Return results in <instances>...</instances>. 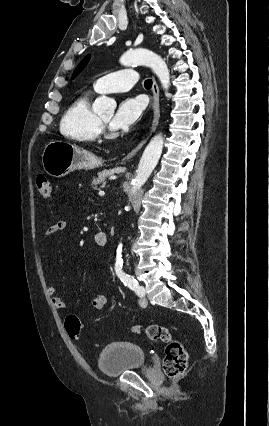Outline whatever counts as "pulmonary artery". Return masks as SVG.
Masks as SVG:
<instances>
[{
	"label": "pulmonary artery",
	"instance_id": "e3ab8cb5",
	"mask_svg": "<svg viewBox=\"0 0 269 426\" xmlns=\"http://www.w3.org/2000/svg\"><path fill=\"white\" fill-rule=\"evenodd\" d=\"M138 79L136 69H122L99 78L94 83V90L97 93L125 92L131 89Z\"/></svg>",
	"mask_w": 269,
	"mask_h": 426
}]
</instances>
